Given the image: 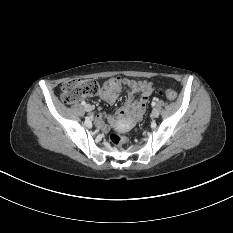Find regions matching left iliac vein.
Masks as SVG:
<instances>
[{
	"instance_id": "4c4485c4",
	"label": "left iliac vein",
	"mask_w": 233,
	"mask_h": 233,
	"mask_svg": "<svg viewBox=\"0 0 233 233\" xmlns=\"http://www.w3.org/2000/svg\"><path fill=\"white\" fill-rule=\"evenodd\" d=\"M159 116V110L153 109L151 112V117L152 118H157Z\"/></svg>"
}]
</instances>
